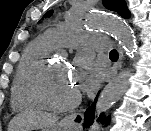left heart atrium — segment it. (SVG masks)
Returning <instances> with one entry per match:
<instances>
[{
	"label": "left heart atrium",
	"instance_id": "left-heart-atrium-1",
	"mask_svg": "<svg viewBox=\"0 0 151 131\" xmlns=\"http://www.w3.org/2000/svg\"><path fill=\"white\" fill-rule=\"evenodd\" d=\"M73 79L78 90H93L99 79V71L94 61L85 54L79 55L74 62Z\"/></svg>",
	"mask_w": 151,
	"mask_h": 131
}]
</instances>
